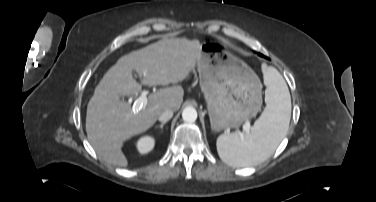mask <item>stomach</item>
I'll return each instance as SVG.
<instances>
[{"instance_id":"0dacf381","label":"stomach","mask_w":376,"mask_h":202,"mask_svg":"<svg viewBox=\"0 0 376 202\" xmlns=\"http://www.w3.org/2000/svg\"><path fill=\"white\" fill-rule=\"evenodd\" d=\"M197 68L213 130L237 127L257 113L262 104L259 78L223 44H201Z\"/></svg>"}]
</instances>
